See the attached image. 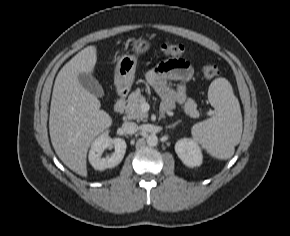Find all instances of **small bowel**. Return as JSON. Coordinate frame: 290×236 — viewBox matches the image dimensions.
<instances>
[{
	"instance_id": "small-bowel-1",
	"label": "small bowel",
	"mask_w": 290,
	"mask_h": 236,
	"mask_svg": "<svg viewBox=\"0 0 290 236\" xmlns=\"http://www.w3.org/2000/svg\"><path fill=\"white\" fill-rule=\"evenodd\" d=\"M193 73L192 67L180 59L166 60L149 71L147 80L161 97L163 113L172 110L177 105L185 104L186 83L192 78ZM171 81L178 83L175 88L171 86Z\"/></svg>"
}]
</instances>
